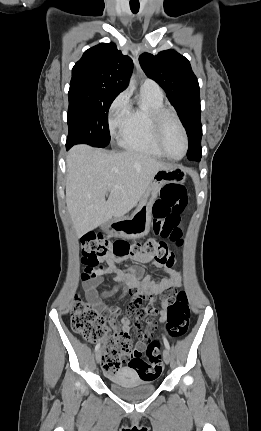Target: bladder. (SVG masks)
Returning a JSON list of instances; mask_svg holds the SVG:
<instances>
[{
  "mask_svg": "<svg viewBox=\"0 0 261 431\" xmlns=\"http://www.w3.org/2000/svg\"><path fill=\"white\" fill-rule=\"evenodd\" d=\"M109 380L112 391L127 399L150 396L156 388L154 381L141 378L131 368L118 370Z\"/></svg>",
  "mask_w": 261,
  "mask_h": 431,
  "instance_id": "1",
  "label": "bladder"
}]
</instances>
